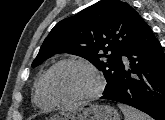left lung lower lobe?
I'll return each instance as SVG.
<instances>
[{"instance_id": "left-lung-lower-lobe-1", "label": "left lung lower lobe", "mask_w": 165, "mask_h": 120, "mask_svg": "<svg viewBox=\"0 0 165 120\" xmlns=\"http://www.w3.org/2000/svg\"><path fill=\"white\" fill-rule=\"evenodd\" d=\"M119 85L101 99L135 107L165 120V54L146 24L124 52Z\"/></svg>"}]
</instances>
